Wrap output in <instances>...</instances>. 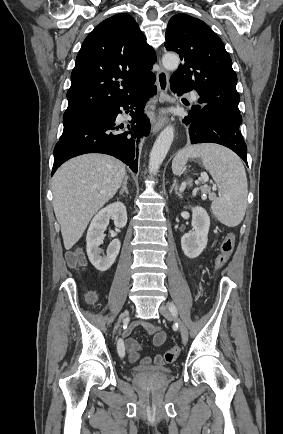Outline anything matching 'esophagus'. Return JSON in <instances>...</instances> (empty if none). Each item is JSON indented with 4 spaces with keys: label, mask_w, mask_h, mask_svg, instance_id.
<instances>
[{
    "label": "esophagus",
    "mask_w": 283,
    "mask_h": 434,
    "mask_svg": "<svg viewBox=\"0 0 283 434\" xmlns=\"http://www.w3.org/2000/svg\"><path fill=\"white\" fill-rule=\"evenodd\" d=\"M157 87L159 93L164 96L167 94L169 89V74L167 71L160 66V69L157 73ZM168 117L166 115H159L152 120L151 130L155 134L162 129V127L167 123Z\"/></svg>",
    "instance_id": "obj_1"
}]
</instances>
